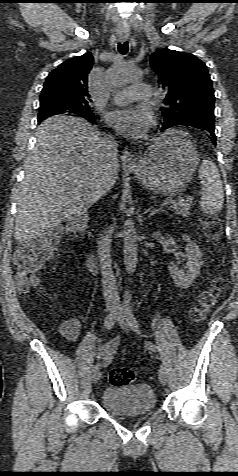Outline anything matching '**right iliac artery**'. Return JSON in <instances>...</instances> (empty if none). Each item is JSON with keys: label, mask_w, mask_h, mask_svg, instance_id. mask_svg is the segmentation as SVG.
Wrapping results in <instances>:
<instances>
[{"label": "right iliac artery", "mask_w": 238, "mask_h": 476, "mask_svg": "<svg viewBox=\"0 0 238 476\" xmlns=\"http://www.w3.org/2000/svg\"><path fill=\"white\" fill-rule=\"evenodd\" d=\"M116 315H117V312L113 311V312H111L110 314H108L106 316L105 321H104V325H105L107 330L112 329V327L114 325V322L116 320ZM99 368H100V365L96 364L95 366H93L92 370L97 371V370H99Z\"/></svg>", "instance_id": "right-iliac-artery-1"}]
</instances>
